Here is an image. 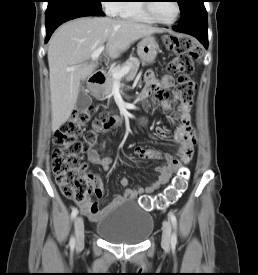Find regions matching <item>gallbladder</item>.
I'll return each mask as SVG.
<instances>
[{
    "label": "gallbladder",
    "mask_w": 258,
    "mask_h": 275,
    "mask_svg": "<svg viewBox=\"0 0 258 275\" xmlns=\"http://www.w3.org/2000/svg\"><path fill=\"white\" fill-rule=\"evenodd\" d=\"M92 104V99L86 90L85 81L81 82L79 94L75 104V109L79 112H84Z\"/></svg>",
    "instance_id": "gallbladder-1"
}]
</instances>
